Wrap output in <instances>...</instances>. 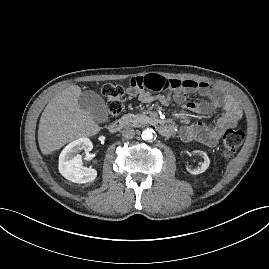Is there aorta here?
I'll list each match as a JSON object with an SVG mask.
<instances>
[{"label":"aorta","mask_w":269,"mask_h":269,"mask_svg":"<svg viewBox=\"0 0 269 269\" xmlns=\"http://www.w3.org/2000/svg\"><path fill=\"white\" fill-rule=\"evenodd\" d=\"M153 129L147 128L142 132V139L143 140H152L153 139Z\"/></svg>","instance_id":"762f6f07"}]
</instances>
